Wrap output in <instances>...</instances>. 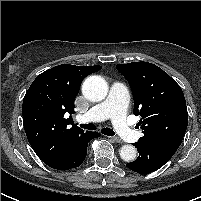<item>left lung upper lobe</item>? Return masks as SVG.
Masks as SVG:
<instances>
[{
    "label": "left lung upper lobe",
    "instance_id": "left-lung-upper-lobe-1",
    "mask_svg": "<svg viewBox=\"0 0 201 201\" xmlns=\"http://www.w3.org/2000/svg\"><path fill=\"white\" fill-rule=\"evenodd\" d=\"M128 80L134 99L133 113L140 115L144 136L138 142L181 144L188 125L186 101L181 87L165 71L148 62L118 64Z\"/></svg>",
    "mask_w": 201,
    "mask_h": 201
}]
</instances>
